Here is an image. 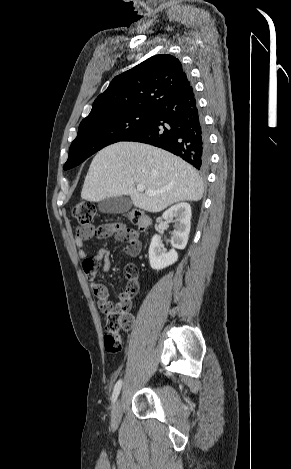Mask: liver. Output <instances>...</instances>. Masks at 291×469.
<instances>
[{"instance_id": "obj_1", "label": "liver", "mask_w": 291, "mask_h": 469, "mask_svg": "<svg viewBox=\"0 0 291 469\" xmlns=\"http://www.w3.org/2000/svg\"><path fill=\"white\" fill-rule=\"evenodd\" d=\"M145 186V193L135 186ZM147 190L156 192L149 196ZM204 184L197 171L175 155L151 145L118 142L100 150L89 167L81 197L100 202L129 195L134 206L160 212L181 201H199Z\"/></svg>"}]
</instances>
